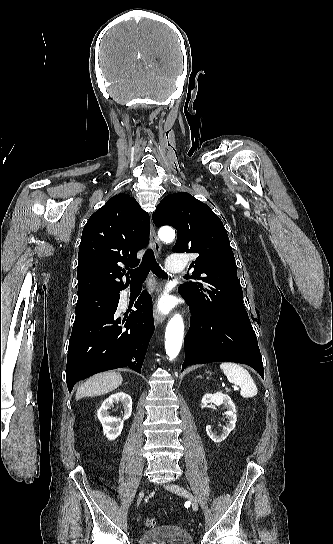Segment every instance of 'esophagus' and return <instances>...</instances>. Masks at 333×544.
Segmentation results:
<instances>
[{
    "instance_id": "34e87169",
    "label": "esophagus",
    "mask_w": 333,
    "mask_h": 544,
    "mask_svg": "<svg viewBox=\"0 0 333 544\" xmlns=\"http://www.w3.org/2000/svg\"><path fill=\"white\" fill-rule=\"evenodd\" d=\"M150 242H151V246H152V249L155 253V255L158 257L161 253V244L159 242V239L156 235V231H155V228H154V225L151 221V229H150ZM164 321V317L161 315V313L158 311L157 308H155L154 310V322H155V325H159L161 324L162 322Z\"/></svg>"
}]
</instances>
